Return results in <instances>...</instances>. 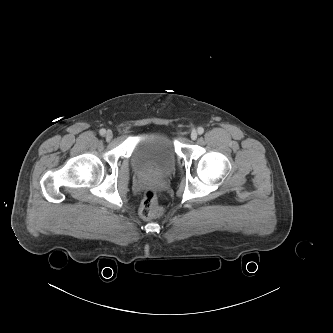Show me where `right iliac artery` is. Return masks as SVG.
<instances>
[{
	"label": "right iliac artery",
	"mask_w": 333,
	"mask_h": 333,
	"mask_svg": "<svg viewBox=\"0 0 333 333\" xmlns=\"http://www.w3.org/2000/svg\"><path fill=\"white\" fill-rule=\"evenodd\" d=\"M99 133H100L101 136H104L106 134V130L105 129H101L99 131Z\"/></svg>",
	"instance_id": "obj_1"
}]
</instances>
